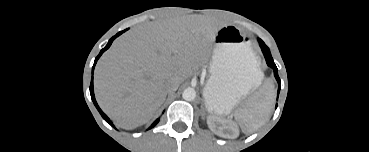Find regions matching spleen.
Listing matches in <instances>:
<instances>
[{
    "label": "spleen",
    "mask_w": 369,
    "mask_h": 152,
    "mask_svg": "<svg viewBox=\"0 0 369 152\" xmlns=\"http://www.w3.org/2000/svg\"><path fill=\"white\" fill-rule=\"evenodd\" d=\"M275 98L274 84L268 82L243 108L237 109L234 116L242 131L251 133L261 127L272 112Z\"/></svg>",
    "instance_id": "obj_1"
}]
</instances>
